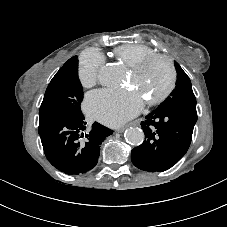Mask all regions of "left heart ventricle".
I'll return each instance as SVG.
<instances>
[{
    "mask_svg": "<svg viewBox=\"0 0 227 227\" xmlns=\"http://www.w3.org/2000/svg\"><path fill=\"white\" fill-rule=\"evenodd\" d=\"M169 80L170 73L166 63L162 60H157L140 74L132 72L128 82L134 85L143 98L151 100L166 89Z\"/></svg>",
    "mask_w": 227,
    "mask_h": 227,
    "instance_id": "obj_1",
    "label": "left heart ventricle"
}]
</instances>
